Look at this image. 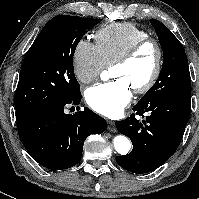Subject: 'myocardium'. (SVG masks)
Instances as JSON below:
<instances>
[{"instance_id": "myocardium-1", "label": "myocardium", "mask_w": 199, "mask_h": 199, "mask_svg": "<svg viewBox=\"0 0 199 199\" xmlns=\"http://www.w3.org/2000/svg\"><path fill=\"white\" fill-rule=\"evenodd\" d=\"M147 46L152 47L155 51V65L148 80L143 85L133 88V91L136 94H145L149 92L157 83L162 73L163 50L159 42L150 37L137 41L112 64V67L129 64L136 57V55Z\"/></svg>"}]
</instances>
